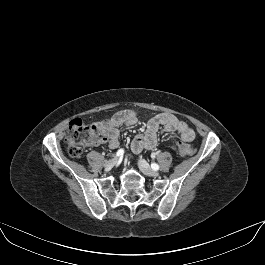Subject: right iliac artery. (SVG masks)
I'll list each match as a JSON object with an SVG mask.
<instances>
[{"label":"right iliac artery","mask_w":265,"mask_h":265,"mask_svg":"<svg viewBox=\"0 0 265 265\" xmlns=\"http://www.w3.org/2000/svg\"><path fill=\"white\" fill-rule=\"evenodd\" d=\"M124 154V149H119L118 151H117V153H116V156L117 157H120V156H122Z\"/></svg>","instance_id":"right-iliac-artery-1"}]
</instances>
